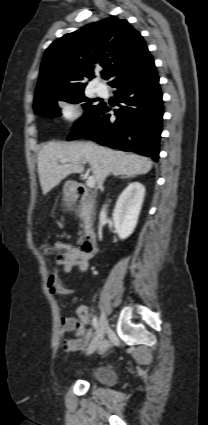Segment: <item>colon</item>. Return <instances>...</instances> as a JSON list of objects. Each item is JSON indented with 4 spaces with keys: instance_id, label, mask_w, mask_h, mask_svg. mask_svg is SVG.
Listing matches in <instances>:
<instances>
[{
    "instance_id": "5ec220e1",
    "label": "colon",
    "mask_w": 208,
    "mask_h": 425,
    "mask_svg": "<svg viewBox=\"0 0 208 425\" xmlns=\"http://www.w3.org/2000/svg\"><path fill=\"white\" fill-rule=\"evenodd\" d=\"M39 249L44 256L50 257L56 254V249L48 244H41Z\"/></svg>"
}]
</instances>
